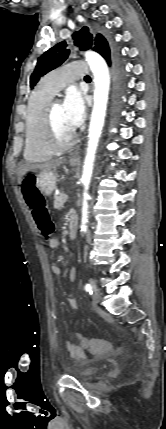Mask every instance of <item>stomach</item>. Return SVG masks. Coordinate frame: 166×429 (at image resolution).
Here are the masks:
<instances>
[{"label":"stomach","instance_id":"obj_1","mask_svg":"<svg viewBox=\"0 0 166 429\" xmlns=\"http://www.w3.org/2000/svg\"><path fill=\"white\" fill-rule=\"evenodd\" d=\"M69 163L71 166L77 165V162L73 160H70ZM35 181L39 189H41V193L44 196H50L56 189L57 175L52 170L41 171L35 175Z\"/></svg>","mask_w":166,"mask_h":429}]
</instances>
